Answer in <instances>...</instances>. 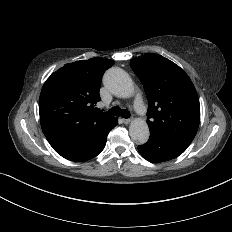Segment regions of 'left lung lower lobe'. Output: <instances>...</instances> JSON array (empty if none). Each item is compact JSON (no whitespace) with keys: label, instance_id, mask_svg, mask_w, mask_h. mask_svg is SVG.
<instances>
[{"label":"left lung lower lobe","instance_id":"0a47b994","mask_svg":"<svg viewBox=\"0 0 232 232\" xmlns=\"http://www.w3.org/2000/svg\"><path fill=\"white\" fill-rule=\"evenodd\" d=\"M138 150L148 161L158 163L178 157L186 148L171 140L150 133L148 142L138 146Z\"/></svg>","mask_w":232,"mask_h":232}]
</instances>
